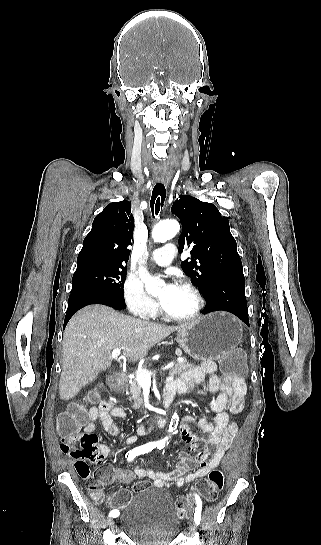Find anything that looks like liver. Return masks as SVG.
<instances>
[{
	"instance_id": "liver-1",
	"label": "liver",
	"mask_w": 321,
	"mask_h": 545,
	"mask_svg": "<svg viewBox=\"0 0 321 545\" xmlns=\"http://www.w3.org/2000/svg\"><path fill=\"white\" fill-rule=\"evenodd\" d=\"M181 327L127 317L105 305L84 307L70 319L64 331L61 399H73L98 373L111 367L114 349H122V355L129 361H139L151 347Z\"/></svg>"
}]
</instances>
